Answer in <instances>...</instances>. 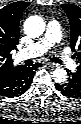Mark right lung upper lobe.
<instances>
[{
	"label": "right lung upper lobe",
	"instance_id": "right-lung-upper-lobe-1",
	"mask_svg": "<svg viewBox=\"0 0 81 124\" xmlns=\"http://www.w3.org/2000/svg\"><path fill=\"white\" fill-rule=\"evenodd\" d=\"M28 6V2L18 1L0 9V78L15 68L11 52L18 45L20 19Z\"/></svg>",
	"mask_w": 81,
	"mask_h": 124
}]
</instances>
